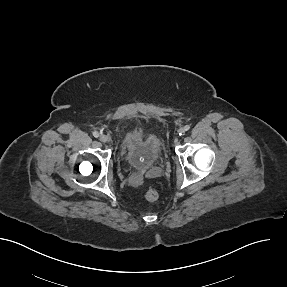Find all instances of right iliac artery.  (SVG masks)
Listing matches in <instances>:
<instances>
[{"label":"right iliac artery","mask_w":287,"mask_h":287,"mask_svg":"<svg viewBox=\"0 0 287 287\" xmlns=\"http://www.w3.org/2000/svg\"><path fill=\"white\" fill-rule=\"evenodd\" d=\"M93 136L97 138V137H99V133L97 131H94Z\"/></svg>","instance_id":"right-iliac-artery-1"}]
</instances>
